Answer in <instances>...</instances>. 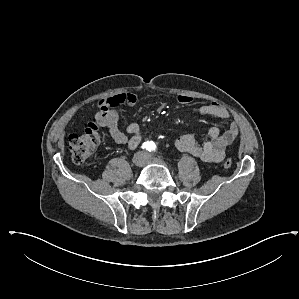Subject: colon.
Instances as JSON below:
<instances>
[{
  "label": "colon",
  "instance_id": "5ec220e1",
  "mask_svg": "<svg viewBox=\"0 0 299 299\" xmlns=\"http://www.w3.org/2000/svg\"><path fill=\"white\" fill-rule=\"evenodd\" d=\"M99 126V122L94 119L83 132L69 136L71 158L75 164L84 163L98 146L101 139ZM223 164L224 167L230 168L232 160L226 159Z\"/></svg>",
  "mask_w": 299,
  "mask_h": 299
}]
</instances>
